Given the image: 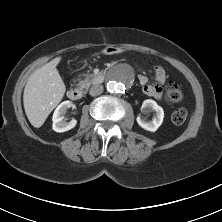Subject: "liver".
Masks as SVG:
<instances>
[{
    "label": "liver",
    "mask_w": 222,
    "mask_h": 222,
    "mask_svg": "<svg viewBox=\"0 0 222 222\" xmlns=\"http://www.w3.org/2000/svg\"><path fill=\"white\" fill-rule=\"evenodd\" d=\"M60 61L61 57H56L37 69L25 85L23 93L25 113L29 122L36 128L44 124L66 91L56 68Z\"/></svg>",
    "instance_id": "liver-1"
}]
</instances>
